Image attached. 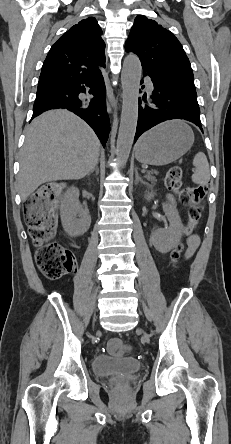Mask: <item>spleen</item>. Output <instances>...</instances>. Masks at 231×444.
Returning a JSON list of instances; mask_svg holds the SVG:
<instances>
[{
    "label": "spleen",
    "instance_id": "3e777b00",
    "mask_svg": "<svg viewBox=\"0 0 231 444\" xmlns=\"http://www.w3.org/2000/svg\"><path fill=\"white\" fill-rule=\"evenodd\" d=\"M195 171L192 175V181L199 185L206 184L210 179L209 164L206 155L198 152L193 159Z\"/></svg>",
    "mask_w": 231,
    "mask_h": 444
}]
</instances>
